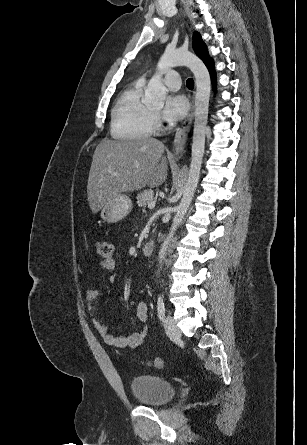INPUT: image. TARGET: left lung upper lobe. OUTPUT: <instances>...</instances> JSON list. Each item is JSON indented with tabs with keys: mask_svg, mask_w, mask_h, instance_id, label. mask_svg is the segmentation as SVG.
<instances>
[{
	"mask_svg": "<svg viewBox=\"0 0 307 445\" xmlns=\"http://www.w3.org/2000/svg\"><path fill=\"white\" fill-rule=\"evenodd\" d=\"M193 48L195 53L203 60V62L208 64L212 59L208 55L207 47L199 33L195 32L193 35Z\"/></svg>",
	"mask_w": 307,
	"mask_h": 445,
	"instance_id": "1",
	"label": "left lung upper lobe"
}]
</instances>
